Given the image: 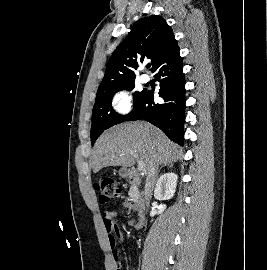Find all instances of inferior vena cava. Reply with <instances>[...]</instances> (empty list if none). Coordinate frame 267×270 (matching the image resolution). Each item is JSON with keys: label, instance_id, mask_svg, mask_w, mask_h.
<instances>
[{"label": "inferior vena cava", "instance_id": "obj_1", "mask_svg": "<svg viewBox=\"0 0 267 270\" xmlns=\"http://www.w3.org/2000/svg\"><path fill=\"white\" fill-rule=\"evenodd\" d=\"M158 166L159 164L157 162H154L147 174V178H146V184H145V192H144V202L146 204V206L149 205V202L152 198V191H153V187L155 185L156 179H157V175H158Z\"/></svg>", "mask_w": 267, "mask_h": 270}]
</instances>
